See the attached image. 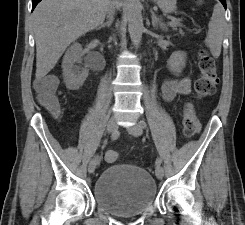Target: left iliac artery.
<instances>
[{"label": "left iliac artery", "mask_w": 245, "mask_h": 225, "mask_svg": "<svg viewBox=\"0 0 245 225\" xmlns=\"http://www.w3.org/2000/svg\"><path fill=\"white\" fill-rule=\"evenodd\" d=\"M140 125L142 126V128H146V126H147V124L144 120L140 121ZM161 163H162V160H161V158L158 157L155 161V166L158 167L161 165Z\"/></svg>", "instance_id": "1"}]
</instances>
